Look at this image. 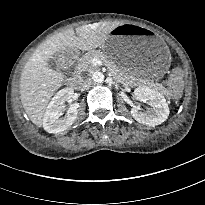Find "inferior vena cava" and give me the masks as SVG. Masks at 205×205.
Listing matches in <instances>:
<instances>
[{
    "mask_svg": "<svg viewBox=\"0 0 205 205\" xmlns=\"http://www.w3.org/2000/svg\"><path fill=\"white\" fill-rule=\"evenodd\" d=\"M91 84H92V80H91L90 78L84 80V81L82 82V89H83V90L88 89V88L91 86Z\"/></svg>",
    "mask_w": 205,
    "mask_h": 205,
    "instance_id": "602c4592",
    "label": "inferior vena cava"
}]
</instances>
